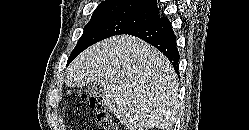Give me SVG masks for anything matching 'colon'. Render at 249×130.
<instances>
[{"label": "colon", "mask_w": 249, "mask_h": 130, "mask_svg": "<svg viewBox=\"0 0 249 130\" xmlns=\"http://www.w3.org/2000/svg\"><path fill=\"white\" fill-rule=\"evenodd\" d=\"M81 100L97 112L99 130H119L118 124L113 120L104 104L95 97L81 94Z\"/></svg>", "instance_id": "1"}]
</instances>
